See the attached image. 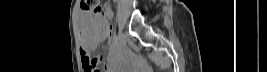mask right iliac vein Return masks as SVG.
<instances>
[{
	"mask_svg": "<svg viewBox=\"0 0 267 72\" xmlns=\"http://www.w3.org/2000/svg\"><path fill=\"white\" fill-rule=\"evenodd\" d=\"M124 41H125V39H124V35H123L122 32H120V33H119V42H120V44H123Z\"/></svg>",
	"mask_w": 267,
	"mask_h": 72,
	"instance_id": "63e3f726",
	"label": "right iliac vein"
}]
</instances>
